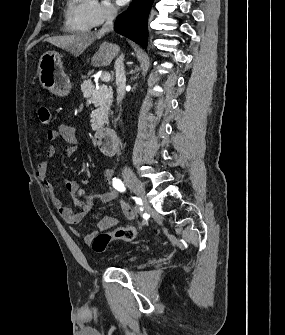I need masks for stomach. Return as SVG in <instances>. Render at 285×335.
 Listing matches in <instances>:
<instances>
[{"label": "stomach", "mask_w": 285, "mask_h": 335, "mask_svg": "<svg viewBox=\"0 0 285 335\" xmlns=\"http://www.w3.org/2000/svg\"><path fill=\"white\" fill-rule=\"evenodd\" d=\"M62 56L58 52H46L38 62V78L41 86L55 96H67L71 90L70 80L63 72Z\"/></svg>", "instance_id": "0dacf381"}]
</instances>
